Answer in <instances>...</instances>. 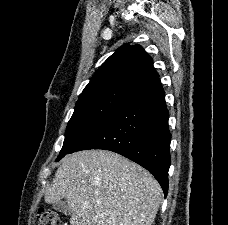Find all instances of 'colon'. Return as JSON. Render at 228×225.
Listing matches in <instances>:
<instances>
[{"label":"colon","mask_w":228,"mask_h":225,"mask_svg":"<svg viewBox=\"0 0 228 225\" xmlns=\"http://www.w3.org/2000/svg\"><path fill=\"white\" fill-rule=\"evenodd\" d=\"M36 225H61L58 213L54 209L40 208L35 215Z\"/></svg>","instance_id":"obj_1"}]
</instances>
